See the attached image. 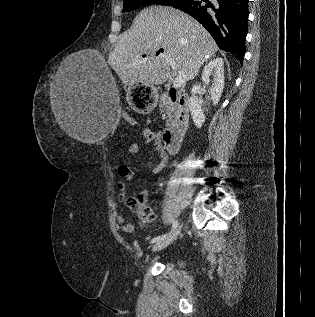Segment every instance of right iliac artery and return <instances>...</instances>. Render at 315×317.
Here are the masks:
<instances>
[{
	"label": "right iliac artery",
	"mask_w": 315,
	"mask_h": 317,
	"mask_svg": "<svg viewBox=\"0 0 315 317\" xmlns=\"http://www.w3.org/2000/svg\"><path fill=\"white\" fill-rule=\"evenodd\" d=\"M177 226H178V221L176 220V221L173 222L171 231H173L175 228H177ZM167 235H168V234H164V235H161V236L154 237V238L151 240V243L158 242V241L164 239Z\"/></svg>",
	"instance_id": "obj_1"
}]
</instances>
